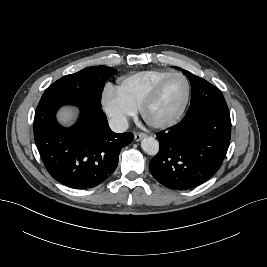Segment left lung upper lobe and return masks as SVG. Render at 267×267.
I'll return each instance as SVG.
<instances>
[{
  "instance_id": "5c2ea615",
  "label": "left lung upper lobe",
  "mask_w": 267,
  "mask_h": 267,
  "mask_svg": "<svg viewBox=\"0 0 267 267\" xmlns=\"http://www.w3.org/2000/svg\"><path fill=\"white\" fill-rule=\"evenodd\" d=\"M177 69H181L176 67ZM183 74H185L192 86V96L191 101L200 100L205 97H209L212 100V110L216 111L221 108L227 107L226 101L221 94L220 90L204 80L201 77L195 76L194 74L181 69Z\"/></svg>"
}]
</instances>
